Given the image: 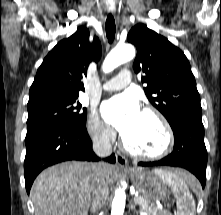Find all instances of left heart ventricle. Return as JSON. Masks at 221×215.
I'll use <instances>...</instances> for the list:
<instances>
[{"instance_id":"b2bd125f","label":"left heart ventricle","mask_w":221,"mask_h":215,"mask_svg":"<svg viewBox=\"0 0 221 215\" xmlns=\"http://www.w3.org/2000/svg\"><path fill=\"white\" fill-rule=\"evenodd\" d=\"M130 148L138 152L153 153L164 145V133L157 120L141 112L134 129L123 137Z\"/></svg>"}]
</instances>
